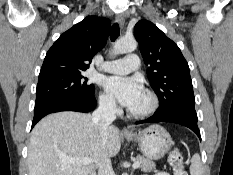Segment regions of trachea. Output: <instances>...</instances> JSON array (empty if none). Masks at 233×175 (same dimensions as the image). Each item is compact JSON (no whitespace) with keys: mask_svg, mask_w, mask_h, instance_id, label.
<instances>
[{"mask_svg":"<svg viewBox=\"0 0 233 175\" xmlns=\"http://www.w3.org/2000/svg\"><path fill=\"white\" fill-rule=\"evenodd\" d=\"M120 34V28H119V24L118 23H114L112 28H111V31H110V39L111 41H115L118 36Z\"/></svg>","mask_w":233,"mask_h":175,"instance_id":"trachea-1","label":"trachea"}]
</instances>
